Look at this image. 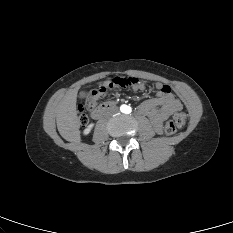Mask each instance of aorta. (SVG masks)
<instances>
[{
  "label": "aorta",
  "instance_id": "obj_1",
  "mask_svg": "<svg viewBox=\"0 0 233 233\" xmlns=\"http://www.w3.org/2000/svg\"><path fill=\"white\" fill-rule=\"evenodd\" d=\"M120 110H121V112H123V113H130L131 108H130L129 106H127V105H122V106L120 107Z\"/></svg>",
  "mask_w": 233,
  "mask_h": 233
}]
</instances>
